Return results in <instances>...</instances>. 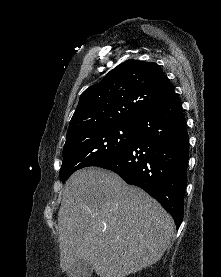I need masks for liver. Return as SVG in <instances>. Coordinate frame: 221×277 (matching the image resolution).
<instances>
[{
    "instance_id": "liver-1",
    "label": "liver",
    "mask_w": 221,
    "mask_h": 277,
    "mask_svg": "<svg viewBox=\"0 0 221 277\" xmlns=\"http://www.w3.org/2000/svg\"><path fill=\"white\" fill-rule=\"evenodd\" d=\"M173 231L146 192L109 170L81 169L66 181L58 213L60 267L87 260L100 277H125L160 260Z\"/></svg>"
}]
</instances>
